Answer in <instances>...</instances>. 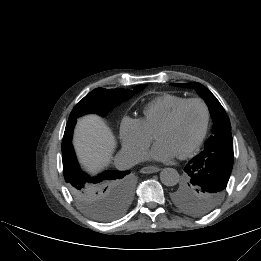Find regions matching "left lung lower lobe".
<instances>
[{"label": "left lung lower lobe", "mask_w": 261, "mask_h": 261, "mask_svg": "<svg viewBox=\"0 0 261 261\" xmlns=\"http://www.w3.org/2000/svg\"><path fill=\"white\" fill-rule=\"evenodd\" d=\"M194 170L198 171L194 166H192V165H186L184 171H185L187 174H189V175H195L196 173H195Z\"/></svg>", "instance_id": "1"}]
</instances>
